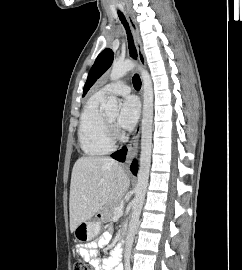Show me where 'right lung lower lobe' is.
<instances>
[{
    "label": "right lung lower lobe",
    "mask_w": 242,
    "mask_h": 270,
    "mask_svg": "<svg viewBox=\"0 0 242 270\" xmlns=\"http://www.w3.org/2000/svg\"><path fill=\"white\" fill-rule=\"evenodd\" d=\"M131 171L133 172L134 175H136V173H137V162H136V160H134L133 163L131 164Z\"/></svg>",
    "instance_id": "1"
}]
</instances>
